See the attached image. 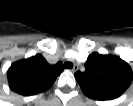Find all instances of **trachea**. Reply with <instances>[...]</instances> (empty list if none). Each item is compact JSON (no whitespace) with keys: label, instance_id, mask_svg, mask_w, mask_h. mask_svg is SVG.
Segmentation results:
<instances>
[{"label":"trachea","instance_id":"3493384b","mask_svg":"<svg viewBox=\"0 0 133 106\" xmlns=\"http://www.w3.org/2000/svg\"><path fill=\"white\" fill-rule=\"evenodd\" d=\"M73 67V64L71 62H66L64 64V68L71 69Z\"/></svg>","mask_w":133,"mask_h":106}]
</instances>
